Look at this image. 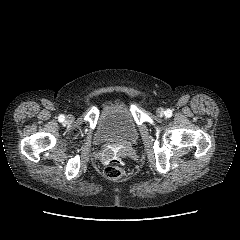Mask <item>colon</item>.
<instances>
[{"label": "colon", "mask_w": 240, "mask_h": 240, "mask_svg": "<svg viewBox=\"0 0 240 240\" xmlns=\"http://www.w3.org/2000/svg\"><path fill=\"white\" fill-rule=\"evenodd\" d=\"M104 175L110 180H118L122 178L125 174V171L122 167L121 159L117 156L110 158L105 167Z\"/></svg>", "instance_id": "colon-1"}]
</instances>
